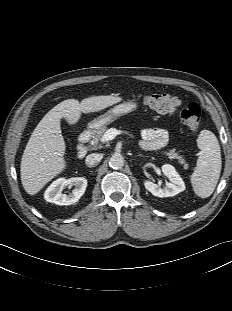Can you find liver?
I'll list each match as a JSON object with an SVG mask.
<instances>
[{
	"mask_svg": "<svg viewBox=\"0 0 232 311\" xmlns=\"http://www.w3.org/2000/svg\"><path fill=\"white\" fill-rule=\"evenodd\" d=\"M121 100V97L102 95L85 98L81 102L67 99L53 107L38 123L25 147L20 165L24 190L30 195L37 194L65 169L62 118L69 124H76L81 113L98 112Z\"/></svg>",
	"mask_w": 232,
	"mask_h": 311,
	"instance_id": "liver-1",
	"label": "liver"
}]
</instances>
